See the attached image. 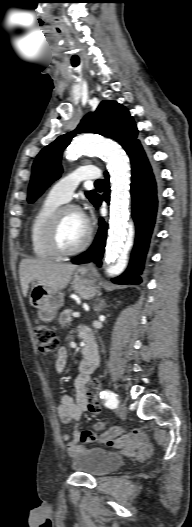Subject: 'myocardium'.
<instances>
[{"instance_id": "f54148a6", "label": "myocardium", "mask_w": 192, "mask_h": 527, "mask_svg": "<svg viewBox=\"0 0 192 527\" xmlns=\"http://www.w3.org/2000/svg\"><path fill=\"white\" fill-rule=\"evenodd\" d=\"M77 212L80 213L79 209L73 205H63L60 206L51 216L46 230H45V243L48 249L55 255L59 257H68L76 255L83 250H85L92 240V229L87 225V233L83 241L74 248L65 249L60 246L58 242V230L60 222L63 216L67 212Z\"/></svg>"}]
</instances>
